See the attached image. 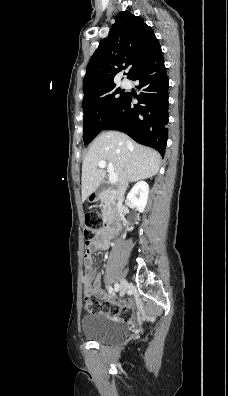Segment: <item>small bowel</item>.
Here are the masks:
<instances>
[{"label": "small bowel", "instance_id": "small-bowel-1", "mask_svg": "<svg viewBox=\"0 0 228 396\" xmlns=\"http://www.w3.org/2000/svg\"><path fill=\"white\" fill-rule=\"evenodd\" d=\"M113 237L114 235L106 231L105 228H99L94 232L93 237L86 242L84 256L85 274L83 276L85 294H93L100 299L106 298V294L104 293L101 286V275L96 273V271L93 269L92 255L94 251L107 249ZM121 305L130 307L132 305V301L126 300Z\"/></svg>", "mask_w": 228, "mask_h": 396}]
</instances>
